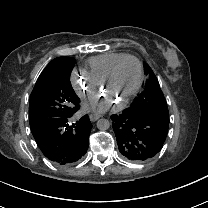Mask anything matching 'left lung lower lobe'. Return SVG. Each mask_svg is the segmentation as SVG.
I'll use <instances>...</instances> for the list:
<instances>
[{
    "label": "left lung lower lobe",
    "mask_w": 208,
    "mask_h": 208,
    "mask_svg": "<svg viewBox=\"0 0 208 208\" xmlns=\"http://www.w3.org/2000/svg\"><path fill=\"white\" fill-rule=\"evenodd\" d=\"M111 119L119 151L125 159L147 161L162 149L169 122L127 110L112 115Z\"/></svg>",
    "instance_id": "0a47b994"
}]
</instances>
